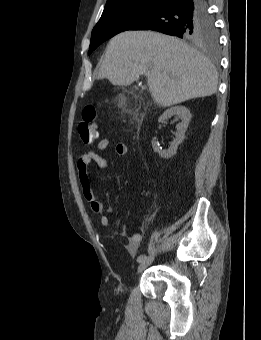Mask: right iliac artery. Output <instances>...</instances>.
<instances>
[{"label":"right iliac artery","mask_w":261,"mask_h":340,"mask_svg":"<svg viewBox=\"0 0 261 340\" xmlns=\"http://www.w3.org/2000/svg\"><path fill=\"white\" fill-rule=\"evenodd\" d=\"M147 258V256L145 254L139 255L137 258V262L141 263L143 262L145 259Z\"/></svg>","instance_id":"obj_1"}]
</instances>
